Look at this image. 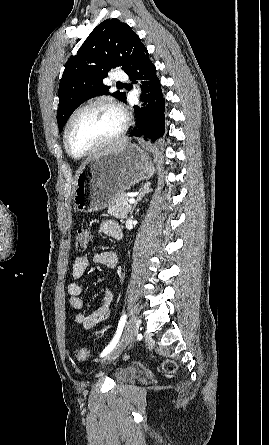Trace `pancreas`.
I'll return each mask as SVG.
<instances>
[{
  "instance_id": "1",
  "label": "pancreas",
  "mask_w": 269,
  "mask_h": 445,
  "mask_svg": "<svg viewBox=\"0 0 269 445\" xmlns=\"http://www.w3.org/2000/svg\"><path fill=\"white\" fill-rule=\"evenodd\" d=\"M132 207L128 202V196L119 195L108 207V213L116 218L125 219L131 213Z\"/></svg>"
}]
</instances>
